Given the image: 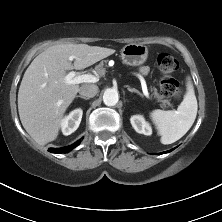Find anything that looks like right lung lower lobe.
Returning <instances> with one entry per match:
<instances>
[{
  "instance_id": "1",
  "label": "right lung lower lobe",
  "mask_w": 222,
  "mask_h": 222,
  "mask_svg": "<svg viewBox=\"0 0 222 222\" xmlns=\"http://www.w3.org/2000/svg\"><path fill=\"white\" fill-rule=\"evenodd\" d=\"M80 143V140H78L77 142H75L74 144L70 145V146H66L63 148H49L48 151L51 153H67L70 150H72L73 148H75L76 146H78Z\"/></svg>"
}]
</instances>
